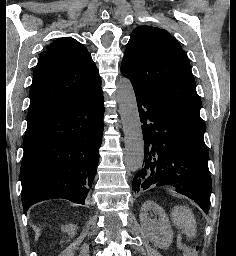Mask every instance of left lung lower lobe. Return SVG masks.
<instances>
[{
  "instance_id": "left-lung-lower-lobe-1",
  "label": "left lung lower lobe",
  "mask_w": 236,
  "mask_h": 256,
  "mask_svg": "<svg viewBox=\"0 0 236 256\" xmlns=\"http://www.w3.org/2000/svg\"><path fill=\"white\" fill-rule=\"evenodd\" d=\"M134 91L143 123L145 165L133 179V190L170 185L207 213L212 183L204 121L199 114L138 89Z\"/></svg>"
}]
</instances>
